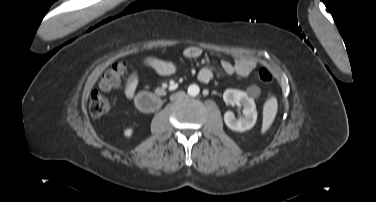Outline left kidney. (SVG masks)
<instances>
[{
  "label": "left kidney",
  "instance_id": "1",
  "mask_svg": "<svg viewBox=\"0 0 376 202\" xmlns=\"http://www.w3.org/2000/svg\"><path fill=\"white\" fill-rule=\"evenodd\" d=\"M223 99L226 103L231 105L241 104L244 108V116L239 119H237L231 111H227L224 114V122L231 130L243 132L251 129L255 125L257 120L256 105L254 100L248 97L245 92L227 89L223 94Z\"/></svg>",
  "mask_w": 376,
  "mask_h": 202
}]
</instances>
